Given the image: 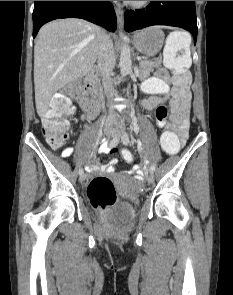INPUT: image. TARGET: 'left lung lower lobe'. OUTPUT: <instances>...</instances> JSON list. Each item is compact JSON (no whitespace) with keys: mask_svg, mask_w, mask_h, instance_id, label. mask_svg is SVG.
<instances>
[{"mask_svg":"<svg viewBox=\"0 0 233 295\" xmlns=\"http://www.w3.org/2000/svg\"><path fill=\"white\" fill-rule=\"evenodd\" d=\"M151 25L181 27L192 33L194 44L197 39L195 1H151L141 10L124 13V27L127 32Z\"/></svg>","mask_w":233,"mask_h":295,"instance_id":"obj_1","label":"left lung lower lobe"}]
</instances>
